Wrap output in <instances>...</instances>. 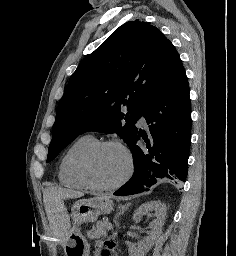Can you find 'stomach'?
Segmentation results:
<instances>
[{"mask_svg": "<svg viewBox=\"0 0 236 256\" xmlns=\"http://www.w3.org/2000/svg\"><path fill=\"white\" fill-rule=\"evenodd\" d=\"M112 209L113 203L107 197L82 199L74 203L71 214L73 228L65 246L66 256H89L90 245L79 226L87 221H96L99 215L108 214Z\"/></svg>", "mask_w": 236, "mask_h": 256, "instance_id": "stomach-1", "label": "stomach"}]
</instances>
